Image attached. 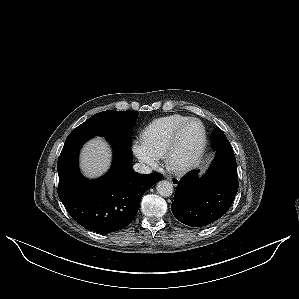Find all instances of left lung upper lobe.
<instances>
[{
	"label": "left lung upper lobe",
	"instance_id": "left-lung-upper-lobe-1",
	"mask_svg": "<svg viewBox=\"0 0 299 299\" xmlns=\"http://www.w3.org/2000/svg\"><path fill=\"white\" fill-rule=\"evenodd\" d=\"M210 140H211L212 144H220L223 147L231 146L227 137L225 136V134L222 132V130L220 128H216L212 132Z\"/></svg>",
	"mask_w": 299,
	"mask_h": 299
}]
</instances>
